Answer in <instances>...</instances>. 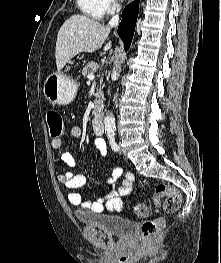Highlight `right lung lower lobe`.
<instances>
[{"mask_svg":"<svg viewBox=\"0 0 221 263\" xmlns=\"http://www.w3.org/2000/svg\"><path fill=\"white\" fill-rule=\"evenodd\" d=\"M139 11V0H134L126 6L122 13V20L118 26V35L124 42V49L130 47Z\"/></svg>","mask_w":221,"mask_h":263,"instance_id":"1","label":"right lung lower lobe"}]
</instances>
